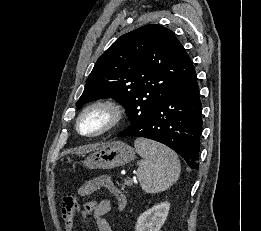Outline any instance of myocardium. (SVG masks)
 <instances>
[{
  "label": "myocardium",
  "mask_w": 261,
  "mask_h": 231,
  "mask_svg": "<svg viewBox=\"0 0 261 231\" xmlns=\"http://www.w3.org/2000/svg\"><path fill=\"white\" fill-rule=\"evenodd\" d=\"M94 109H104L105 111H107L109 114V121L103 128L99 129L96 132L83 133L79 127L80 121L86 113ZM124 118L125 109L120 102L114 99H99L89 103L79 112L75 122V130L83 137H98L118 127L124 120Z\"/></svg>",
  "instance_id": "myocardium-1"
}]
</instances>
